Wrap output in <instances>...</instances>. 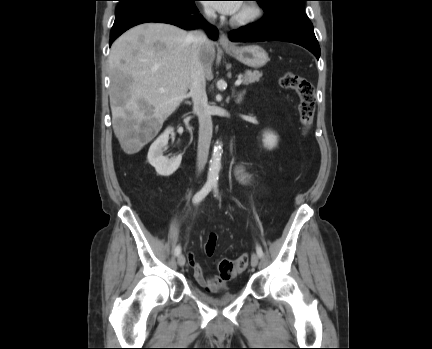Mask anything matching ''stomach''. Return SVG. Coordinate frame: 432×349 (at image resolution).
I'll return each mask as SVG.
<instances>
[{"mask_svg":"<svg viewBox=\"0 0 432 349\" xmlns=\"http://www.w3.org/2000/svg\"><path fill=\"white\" fill-rule=\"evenodd\" d=\"M225 51L239 62L255 69L263 67L269 60L267 52L258 45L225 48Z\"/></svg>","mask_w":432,"mask_h":349,"instance_id":"obj_1","label":"stomach"}]
</instances>
